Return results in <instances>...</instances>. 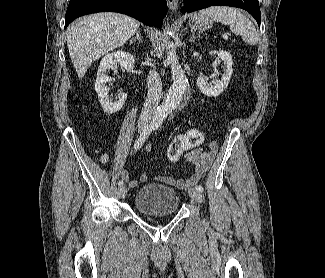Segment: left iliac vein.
I'll return each mask as SVG.
<instances>
[{
	"label": "left iliac vein",
	"instance_id": "obj_1",
	"mask_svg": "<svg viewBox=\"0 0 325 278\" xmlns=\"http://www.w3.org/2000/svg\"><path fill=\"white\" fill-rule=\"evenodd\" d=\"M188 194L194 201H196L198 203L202 202V194L200 191H198L196 189H189Z\"/></svg>",
	"mask_w": 325,
	"mask_h": 278
}]
</instances>
